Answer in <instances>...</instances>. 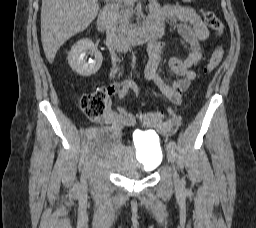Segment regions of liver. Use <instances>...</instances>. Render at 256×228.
<instances>
[{
	"mask_svg": "<svg viewBox=\"0 0 256 228\" xmlns=\"http://www.w3.org/2000/svg\"><path fill=\"white\" fill-rule=\"evenodd\" d=\"M98 10L97 0H42L41 41L49 63L68 39L93 22Z\"/></svg>",
	"mask_w": 256,
	"mask_h": 228,
	"instance_id": "liver-1",
	"label": "liver"
}]
</instances>
